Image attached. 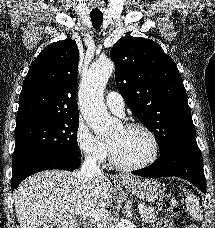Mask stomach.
Segmentation results:
<instances>
[{
	"label": "stomach",
	"instance_id": "1",
	"mask_svg": "<svg viewBox=\"0 0 215 228\" xmlns=\"http://www.w3.org/2000/svg\"><path fill=\"white\" fill-rule=\"evenodd\" d=\"M120 186H127L130 192L144 200V202H155L156 198H159L163 194V186L158 180H136V178H130V176H121L119 178Z\"/></svg>",
	"mask_w": 215,
	"mask_h": 228
}]
</instances>
